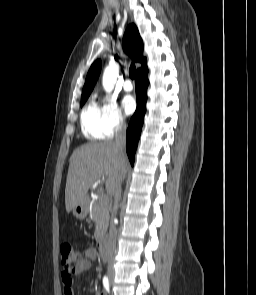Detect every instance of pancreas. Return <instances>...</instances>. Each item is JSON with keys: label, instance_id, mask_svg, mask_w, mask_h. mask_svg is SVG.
Instances as JSON below:
<instances>
[{"label": "pancreas", "instance_id": "obj_1", "mask_svg": "<svg viewBox=\"0 0 256 295\" xmlns=\"http://www.w3.org/2000/svg\"><path fill=\"white\" fill-rule=\"evenodd\" d=\"M91 219L96 224L95 238L101 242L107 231L109 222L108 204L103 200L94 202L91 208Z\"/></svg>", "mask_w": 256, "mask_h": 295}]
</instances>
